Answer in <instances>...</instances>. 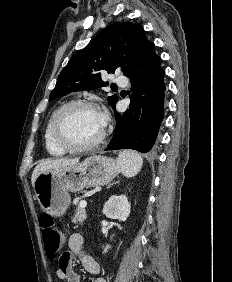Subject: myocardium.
<instances>
[{
  "instance_id": "obj_1",
  "label": "myocardium",
  "mask_w": 232,
  "mask_h": 282,
  "mask_svg": "<svg viewBox=\"0 0 232 282\" xmlns=\"http://www.w3.org/2000/svg\"><path fill=\"white\" fill-rule=\"evenodd\" d=\"M77 106H82V107H88L91 109H94L97 111V106L94 102L90 100H85V99H78V100H71L64 105H62L55 113L52 122H51V136L53 141L57 146L62 148L65 151L68 152H83V151H89L92 149L97 148L100 146L105 137H106V130L103 126L102 132L100 136L93 142L88 143V144H83V145H75L71 144L67 141H65L59 134V124L61 121L62 116L64 113L69 110L70 108L77 107Z\"/></svg>"
}]
</instances>
